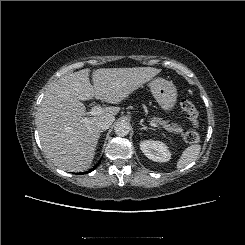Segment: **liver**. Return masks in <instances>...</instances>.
I'll return each mask as SVG.
<instances>
[{
  "label": "liver",
  "instance_id": "6515ba94",
  "mask_svg": "<svg viewBox=\"0 0 245 245\" xmlns=\"http://www.w3.org/2000/svg\"><path fill=\"white\" fill-rule=\"evenodd\" d=\"M66 74L45 92L37 117L45 155L60 169L79 172L90 167L100 137L98 121L114 116L119 107H107L97 116H86L82 101L93 97L118 104L161 72L153 67L100 68Z\"/></svg>",
  "mask_w": 245,
  "mask_h": 245
}]
</instances>
